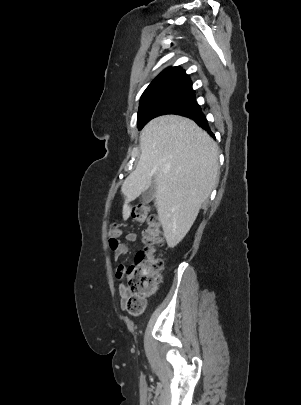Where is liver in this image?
I'll use <instances>...</instances> for the list:
<instances>
[{"mask_svg":"<svg viewBox=\"0 0 301 405\" xmlns=\"http://www.w3.org/2000/svg\"><path fill=\"white\" fill-rule=\"evenodd\" d=\"M140 150L136 169L122 185L123 218L130 215L129 203L155 181L158 217L168 246L175 247L216 185L217 144L193 120L164 115L142 129Z\"/></svg>","mask_w":301,"mask_h":405,"instance_id":"1","label":"liver"}]
</instances>
